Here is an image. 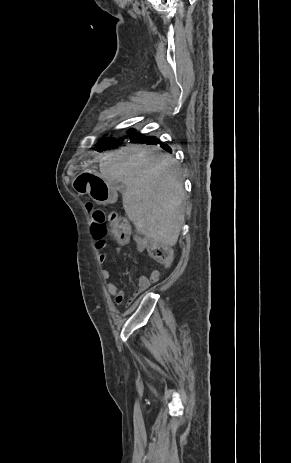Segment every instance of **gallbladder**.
Masks as SVG:
<instances>
[{"mask_svg":"<svg viewBox=\"0 0 291 463\" xmlns=\"http://www.w3.org/2000/svg\"><path fill=\"white\" fill-rule=\"evenodd\" d=\"M117 189H118L119 191H122V192H123V191L125 190V185H124V184H121V183H118V184H117Z\"/></svg>","mask_w":291,"mask_h":463,"instance_id":"1","label":"gallbladder"}]
</instances>
